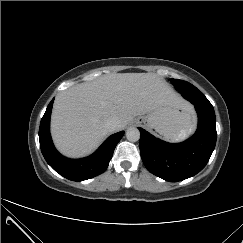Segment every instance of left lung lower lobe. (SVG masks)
<instances>
[{
  "label": "left lung lower lobe",
  "instance_id": "1",
  "mask_svg": "<svg viewBox=\"0 0 243 243\" xmlns=\"http://www.w3.org/2000/svg\"><path fill=\"white\" fill-rule=\"evenodd\" d=\"M198 114V129L182 143H167L139 128L140 152L145 167L154 175L178 182L196 175L210 159L216 144L215 112L202 92L192 84L177 89Z\"/></svg>",
  "mask_w": 243,
  "mask_h": 243
}]
</instances>
